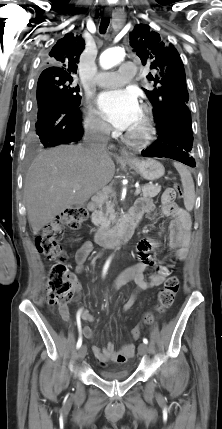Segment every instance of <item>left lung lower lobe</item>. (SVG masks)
<instances>
[{
  "label": "left lung lower lobe",
  "mask_w": 222,
  "mask_h": 429,
  "mask_svg": "<svg viewBox=\"0 0 222 429\" xmlns=\"http://www.w3.org/2000/svg\"><path fill=\"white\" fill-rule=\"evenodd\" d=\"M158 139L146 150L145 157H164L195 167L191 156L193 133L189 108L177 109L169 113L160 123H156Z\"/></svg>",
  "instance_id": "obj_1"
}]
</instances>
